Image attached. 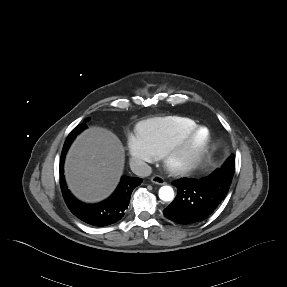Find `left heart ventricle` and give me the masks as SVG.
I'll return each instance as SVG.
<instances>
[{
  "label": "left heart ventricle",
  "mask_w": 287,
  "mask_h": 287,
  "mask_svg": "<svg viewBox=\"0 0 287 287\" xmlns=\"http://www.w3.org/2000/svg\"><path fill=\"white\" fill-rule=\"evenodd\" d=\"M206 139H207V131L206 130L199 131L198 134L193 139L187 154L183 158L188 159L194 156L196 153H198L205 144Z\"/></svg>",
  "instance_id": "b2bd125f"
}]
</instances>
